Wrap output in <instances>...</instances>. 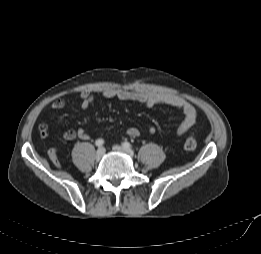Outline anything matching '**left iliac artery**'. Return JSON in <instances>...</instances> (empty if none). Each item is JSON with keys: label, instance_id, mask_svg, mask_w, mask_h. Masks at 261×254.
Returning <instances> with one entry per match:
<instances>
[{"label": "left iliac artery", "instance_id": "left-iliac-artery-1", "mask_svg": "<svg viewBox=\"0 0 261 254\" xmlns=\"http://www.w3.org/2000/svg\"><path fill=\"white\" fill-rule=\"evenodd\" d=\"M123 147L126 148V149H130L132 146L129 142H124Z\"/></svg>", "mask_w": 261, "mask_h": 254}]
</instances>
